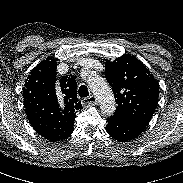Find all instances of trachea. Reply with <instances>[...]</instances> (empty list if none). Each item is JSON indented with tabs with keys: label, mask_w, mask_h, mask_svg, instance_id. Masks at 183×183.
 <instances>
[{
	"label": "trachea",
	"mask_w": 183,
	"mask_h": 183,
	"mask_svg": "<svg viewBox=\"0 0 183 183\" xmlns=\"http://www.w3.org/2000/svg\"><path fill=\"white\" fill-rule=\"evenodd\" d=\"M78 94H79V96L81 98L88 97L89 96V92H88L87 87L85 85H81L79 87Z\"/></svg>",
	"instance_id": "obj_1"
}]
</instances>
